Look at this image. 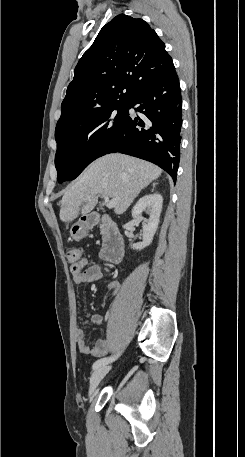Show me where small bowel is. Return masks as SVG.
Listing matches in <instances>:
<instances>
[{
	"label": "small bowel",
	"instance_id": "small-bowel-1",
	"mask_svg": "<svg viewBox=\"0 0 245 457\" xmlns=\"http://www.w3.org/2000/svg\"><path fill=\"white\" fill-rule=\"evenodd\" d=\"M102 275V268L99 265L90 266L83 271L72 270L73 280L79 285L98 281L102 278ZM120 286L121 283L119 281H113L108 285V291L113 294L118 291ZM85 323L100 325L102 323V318L98 315H87ZM75 336L79 352L86 356L101 357L118 349L120 345V337L112 330H109L104 338L97 340L93 347H90L86 343L85 332L82 328L79 327L76 329Z\"/></svg>",
	"mask_w": 245,
	"mask_h": 457
}]
</instances>
